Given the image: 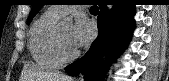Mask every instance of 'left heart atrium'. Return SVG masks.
Wrapping results in <instances>:
<instances>
[{"label": "left heart atrium", "mask_w": 169, "mask_h": 81, "mask_svg": "<svg viewBox=\"0 0 169 81\" xmlns=\"http://www.w3.org/2000/svg\"><path fill=\"white\" fill-rule=\"evenodd\" d=\"M91 33L92 27L87 18L83 15L76 16L70 34L72 46L74 48L83 46L89 40Z\"/></svg>", "instance_id": "left-heart-atrium-1"}]
</instances>
